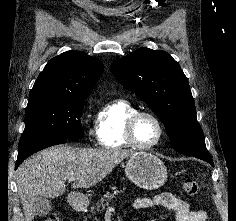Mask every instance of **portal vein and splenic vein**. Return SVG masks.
Masks as SVG:
<instances>
[{
    "instance_id": "18ae733b",
    "label": "portal vein and splenic vein",
    "mask_w": 236,
    "mask_h": 221,
    "mask_svg": "<svg viewBox=\"0 0 236 221\" xmlns=\"http://www.w3.org/2000/svg\"><path fill=\"white\" fill-rule=\"evenodd\" d=\"M68 181L69 182H73V181H75V178L74 177H70V178H68Z\"/></svg>"
}]
</instances>
